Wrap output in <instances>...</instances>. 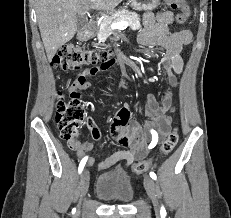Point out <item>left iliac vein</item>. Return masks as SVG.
Wrapping results in <instances>:
<instances>
[{
    "label": "left iliac vein",
    "mask_w": 231,
    "mask_h": 218,
    "mask_svg": "<svg viewBox=\"0 0 231 218\" xmlns=\"http://www.w3.org/2000/svg\"><path fill=\"white\" fill-rule=\"evenodd\" d=\"M144 186H145V189L147 191L148 196L152 200L154 210L158 213L160 211V205L158 202L156 183L154 182V180L151 177L145 176L144 177Z\"/></svg>",
    "instance_id": "4c4485c4"
}]
</instances>
